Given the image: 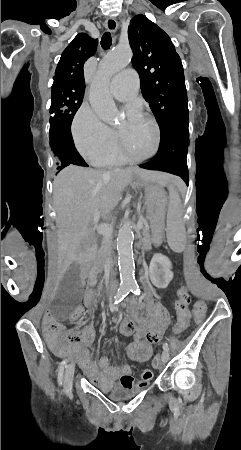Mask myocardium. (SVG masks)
Listing matches in <instances>:
<instances>
[{
	"mask_svg": "<svg viewBox=\"0 0 241 450\" xmlns=\"http://www.w3.org/2000/svg\"><path fill=\"white\" fill-rule=\"evenodd\" d=\"M152 127H157L158 126V123L157 122H152ZM124 132L121 130L120 132H118L117 133V136H118V143H119V149H122V152H119V157H125V158H131V157H129L128 156V153H126L127 152V149L125 148V137L124 136H122V134H123ZM154 134H155V136H154V139L152 140V145H154V147L152 148V151H151V153H150V157L152 158V157H154L155 156V153H156V151L158 150V149H160V144H158V142H159V137H160V134H161V131L160 130H155L154 131ZM157 149V150H156ZM136 162H146L147 160H135Z\"/></svg>",
	"mask_w": 241,
	"mask_h": 450,
	"instance_id": "f54148a6",
	"label": "myocardium"
}]
</instances>
